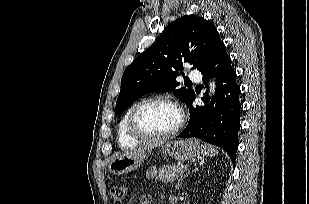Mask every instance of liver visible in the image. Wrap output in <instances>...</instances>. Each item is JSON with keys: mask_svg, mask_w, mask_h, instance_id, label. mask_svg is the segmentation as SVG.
I'll return each mask as SVG.
<instances>
[{"mask_svg": "<svg viewBox=\"0 0 309 204\" xmlns=\"http://www.w3.org/2000/svg\"><path fill=\"white\" fill-rule=\"evenodd\" d=\"M162 143H164V141H159V142H154V143H150L148 145H146L145 147H142L138 150H134L132 152H140V151H146V150H151L153 149L154 147H157L159 145H161Z\"/></svg>", "mask_w": 309, "mask_h": 204, "instance_id": "1", "label": "liver"}]
</instances>
